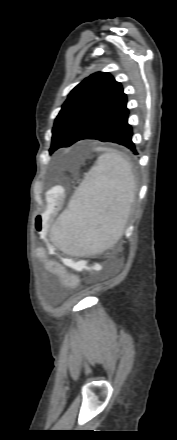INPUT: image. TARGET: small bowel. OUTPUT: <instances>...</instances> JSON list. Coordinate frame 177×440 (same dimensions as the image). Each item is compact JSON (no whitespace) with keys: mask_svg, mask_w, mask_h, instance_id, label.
<instances>
[{"mask_svg":"<svg viewBox=\"0 0 177 440\" xmlns=\"http://www.w3.org/2000/svg\"><path fill=\"white\" fill-rule=\"evenodd\" d=\"M46 225H43V228L40 229L39 231L42 232L44 231ZM38 256L39 258H41L45 264V267L47 269L48 272L57 275L63 286L68 287V288H73L77 285L78 283V279L76 276L74 275H68V272L65 270L63 264L59 261L53 260V259H48L46 257L45 251L43 249H39L38 250ZM69 260V259H66Z\"/></svg>","mask_w":177,"mask_h":440,"instance_id":"small-bowel-1","label":"small bowel"}]
</instances>
